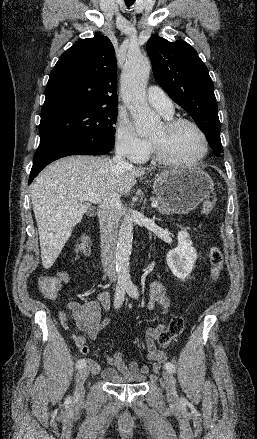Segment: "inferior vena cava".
Segmentation results:
<instances>
[{
  "label": "inferior vena cava",
  "mask_w": 257,
  "mask_h": 439,
  "mask_svg": "<svg viewBox=\"0 0 257 439\" xmlns=\"http://www.w3.org/2000/svg\"><path fill=\"white\" fill-rule=\"evenodd\" d=\"M113 161L123 168L133 166L125 161L121 153H116ZM120 195L113 193L109 199L101 203L97 209L101 232V261L105 274L111 282L116 281L115 254L118 229V207Z\"/></svg>",
  "instance_id": "inferior-vena-cava-1"
}]
</instances>
